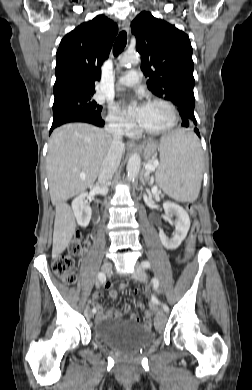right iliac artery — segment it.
Instances as JSON below:
<instances>
[{
	"label": "right iliac artery",
	"mask_w": 252,
	"mask_h": 390,
	"mask_svg": "<svg viewBox=\"0 0 252 390\" xmlns=\"http://www.w3.org/2000/svg\"><path fill=\"white\" fill-rule=\"evenodd\" d=\"M99 280H101L102 283H103V281L106 280V277H105V274H104V273H102V272L99 273ZM93 313H96L95 308L93 309Z\"/></svg>",
	"instance_id": "1"
}]
</instances>
